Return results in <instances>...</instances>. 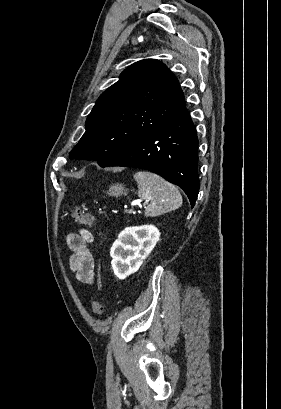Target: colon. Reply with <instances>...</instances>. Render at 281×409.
Listing matches in <instances>:
<instances>
[{
	"label": "colon",
	"mask_w": 281,
	"mask_h": 409,
	"mask_svg": "<svg viewBox=\"0 0 281 409\" xmlns=\"http://www.w3.org/2000/svg\"><path fill=\"white\" fill-rule=\"evenodd\" d=\"M71 217L86 226H91L94 222L93 216L81 210L80 208H73L71 210ZM93 313L94 316L99 319L103 316L104 304L100 298H97L93 302Z\"/></svg>",
	"instance_id": "5ec220e1"
}]
</instances>
